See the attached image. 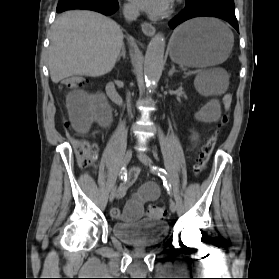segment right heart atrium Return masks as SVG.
I'll list each match as a JSON object with an SVG mask.
<instances>
[{"mask_svg": "<svg viewBox=\"0 0 279 279\" xmlns=\"http://www.w3.org/2000/svg\"><path fill=\"white\" fill-rule=\"evenodd\" d=\"M125 10H126V12L129 13V14H132V13L135 12L134 7L131 6V5H126V6H125Z\"/></svg>", "mask_w": 279, "mask_h": 279, "instance_id": "obj_1", "label": "right heart atrium"}]
</instances>
